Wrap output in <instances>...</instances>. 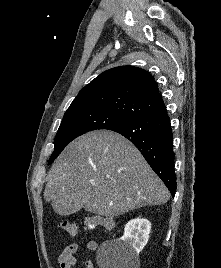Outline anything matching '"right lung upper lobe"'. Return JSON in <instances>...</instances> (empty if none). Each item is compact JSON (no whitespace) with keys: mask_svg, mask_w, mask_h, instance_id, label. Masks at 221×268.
<instances>
[{"mask_svg":"<svg viewBox=\"0 0 221 268\" xmlns=\"http://www.w3.org/2000/svg\"><path fill=\"white\" fill-rule=\"evenodd\" d=\"M165 108L154 78L134 66L112 68L86 85L66 111L102 109L131 120Z\"/></svg>","mask_w":221,"mask_h":268,"instance_id":"1","label":"right lung upper lobe"}]
</instances>
